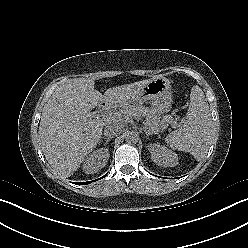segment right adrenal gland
<instances>
[{
	"label": "right adrenal gland",
	"instance_id": "obj_1",
	"mask_svg": "<svg viewBox=\"0 0 248 248\" xmlns=\"http://www.w3.org/2000/svg\"><path fill=\"white\" fill-rule=\"evenodd\" d=\"M113 137H102V139H105V145L108 144V142L112 139ZM101 142V141H100Z\"/></svg>",
	"mask_w": 248,
	"mask_h": 248
}]
</instances>
